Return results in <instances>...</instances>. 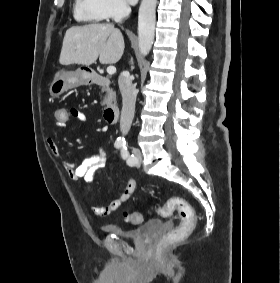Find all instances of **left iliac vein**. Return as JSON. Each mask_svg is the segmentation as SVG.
<instances>
[{
  "mask_svg": "<svg viewBox=\"0 0 280 283\" xmlns=\"http://www.w3.org/2000/svg\"><path fill=\"white\" fill-rule=\"evenodd\" d=\"M133 154L136 158L135 165L139 166L141 164V159H142L141 151L139 149H134Z\"/></svg>",
  "mask_w": 280,
  "mask_h": 283,
  "instance_id": "obj_1",
  "label": "left iliac vein"
}]
</instances>
